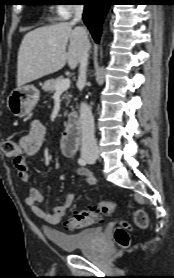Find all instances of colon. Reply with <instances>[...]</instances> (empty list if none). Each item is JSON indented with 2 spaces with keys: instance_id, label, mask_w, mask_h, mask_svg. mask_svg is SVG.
<instances>
[{
  "instance_id": "colon-1",
  "label": "colon",
  "mask_w": 174,
  "mask_h": 278,
  "mask_svg": "<svg viewBox=\"0 0 174 278\" xmlns=\"http://www.w3.org/2000/svg\"><path fill=\"white\" fill-rule=\"evenodd\" d=\"M1 149L8 157L15 158L21 154L20 146L12 140L3 141L1 144ZM113 209L114 205L112 202L103 200L100 201L97 206L87 207L79 211H72L69 213L66 227L69 230H76L93 225L100 221L103 214H109L113 211ZM133 221L135 226L138 228L147 227V213L142 209H136L133 214ZM127 229L128 225L123 223L115 231V240L122 247H127L130 243V237Z\"/></svg>"
}]
</instances>
